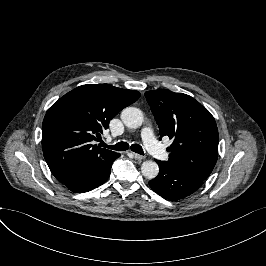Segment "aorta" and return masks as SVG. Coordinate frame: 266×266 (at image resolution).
Segmentation results:
<instances>
[{"label":"aorta","mask_w":266,"mask_h":266,"mask_svg":"<svg viewBox=\"0 0 266 266\" xmlns=\"http://www.w3.org/2000/svg\"><path fill=\"white\" fill-rule=\"evenodd\" d=\"M120 118L125 126L138 128L143 122V114L139 108L126 107L121 111ZM142 175L149 180L157 177L159 166L154 161H145L141 166Z\"/></svg>","instance_id":"obj_1"}]
</instances>
